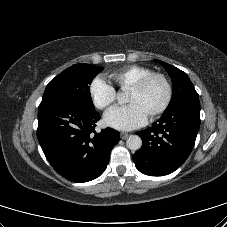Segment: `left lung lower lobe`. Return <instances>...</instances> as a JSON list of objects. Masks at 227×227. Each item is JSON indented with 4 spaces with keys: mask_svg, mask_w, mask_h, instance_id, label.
<instances>
[{
    "mask_svg": "<svg viewBox=\"0 0 227 227\" xmlns=\"http://www.w3.org/2000/svg\"><path fill=\"white\" fill-rule=\"evenodd\" d=\"M199 126V99L185 100L164 112L152 127L136 133L143 141L133 155L136 168L151 176L172 173L191 153Z\"/></svg>",
    "mask_w": 227,
    "mask_h": 227,
    "instance_id": "left-lung-lower-lobe-1",
    "label": "left lung lower lobe"
}]
</instances>
